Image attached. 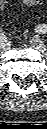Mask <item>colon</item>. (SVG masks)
<instances>
[{
    "instance_id": "1",
    "label": "colon",
    "mask_w": 47,
    "mask_h": 129,
    "mask_svg": "<svg viewBox=\"0 0 47 129\" xmlns=\"http://www.w3.org/2000/svg\"><path fill=\"white\" fill-rule=\"evenodd\" d=\"M4 2V1H2ZM23 2L28 5V6H32V7H36L38 5L42 4V0H23Z\"/></svg>"
}]
</instances>
